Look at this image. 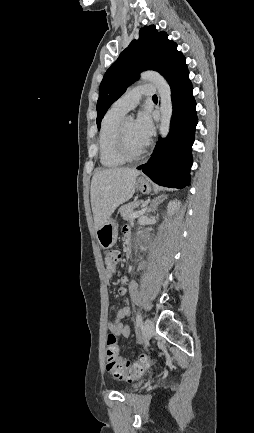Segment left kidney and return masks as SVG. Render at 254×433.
<instances>
[{"label":"left kidney","mask_w":254,"mask_h":433,"mask_svg":"<svg viewBox=\"0 0 254 433\" xmlns=\"http://www.w3.org/2000/svg\"><path fill=\"white\" fill-rule=\"evenodd\" d=\"M180 202L177 200L170 201L167 206V211L169 215H173L175 211L179 209Z\"/></svg>","instance_id":"5707ae66"}]
</instances>
